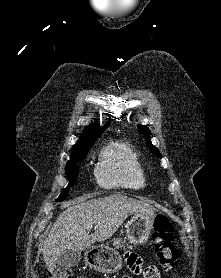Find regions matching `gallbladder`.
<instances>
[{
	"label": "gallbladder",
	"mask_w": 221,
	"mask_h": 278,
	"mask_svg": "<svg viewBox=\"0 0 221 278\" xmlns=\"http://www.w3.org/2000/svg\"><path fill=\"white\" fill-rule=\"evenodd\" d=\"M80 260H81V252L66 250L59 257L57 264L64 268H70L76 266L80 262Z\"/></svg>",
	"instance_id": "gallbladder-1"
}]
</instances>
